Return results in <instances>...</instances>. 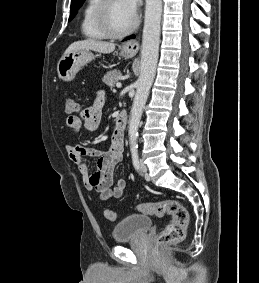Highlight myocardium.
Listing matches in <instances>:
<instances>
[{"mask_svg":"<svg viewBox=\"0 0 259 283\" xmlns=\"http://www.w3.org/2000/svg\"><path fill=\"white\" fill-rule=\"evenodd\" d=\"M113 0H101L97 11V23L101 32L109 38L119 39L132 33L138 26V17L135 15L132 24L123 31H115L110 21V8Z\"/></svg>","mask_w":259,"mask_h":283,"instance_id":"myocardium-1","label":"myocardium"}]
</instances>
